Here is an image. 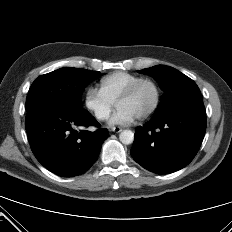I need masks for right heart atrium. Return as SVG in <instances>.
<instances>
[{"label": "right heart atrium", "mask_w": 232, "mask_h": 232, "mask_svg": "<svg viewBox=\"0 0 232 232\" xmlns=\"http://www.w3.org/2000/svg\"><path fill=\"white\" fill-rule=\"evenodd\" d=\"M83 103L87 111L97 121L107 120L114 107V103L110 102L98 89L94 87H90L86 90Z\"/></svg>", "instance_id": "obj_1"}]
</instances>
